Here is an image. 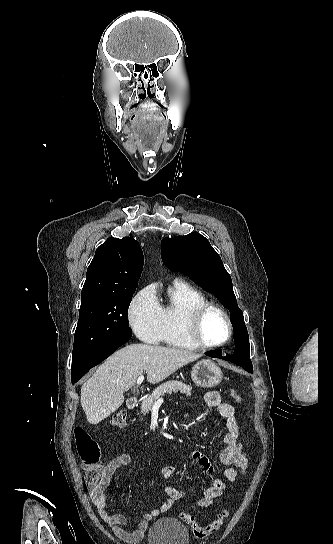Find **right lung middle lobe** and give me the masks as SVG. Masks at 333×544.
Here are the masks:
<instances>
[{"instance_id": "obj_1", "label": "right lung middle lobe", "mask_w": 333, "mask_h": 544, "mask_svg": "<svg viewBox=\"0 0 333 544\" xmlns=\"http://www.w3.org/2000/svg\"><path fill=\"white\" fill-rule=\"evenodd\" d=\"M134 292L106 294L81 304L74 335L72 366L117 336L132 335L128 308Z\"/></svg>"}]
</instances>
